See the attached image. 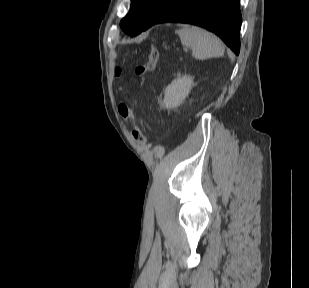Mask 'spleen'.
<instances>
[{
	"instance_id": "3e777b00",
	"label": "spleen",
	"mask_w": 309,
	"mask_h": 288,
	"mask_svg": "<svg viewBox=\"0 0 309 288\" xmlns=\"http://www.w3.org/2000/svg\"><path fill=\"white\" fill-rule=\"evenodd\" d=\"M176 33L182 45L192 48V55L195 59L205 60L224 55V46L220 39L204 29L187 26Z\"/></svg>"
}]
</instances>
